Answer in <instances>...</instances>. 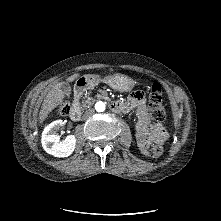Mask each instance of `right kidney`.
Wrapping results in <instances>:
<instances>
[{"label": "right kidney", "instance_id": "right-kidney-1", "mask_svg": "<svg viewBox=\"0 0 221 221\" xmlns=\"http://www.w3.org/2000/svg\"><path fill=\"white\" fill-rule=\"evenodd\" d=\"M63 126L62 120H56L50 123L42 133V147L48 153L55 157H68L70 156L76 145V138L74 135L67 136L64 140L60 141L58 135L59 129Z\"/></svg>", "mask_w": 221, "mask_h": 221}]
</instances>
